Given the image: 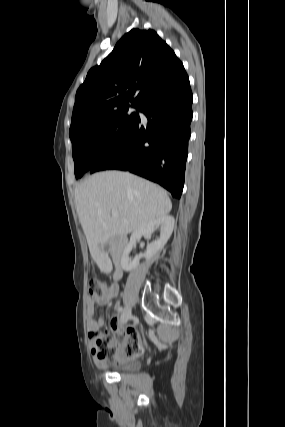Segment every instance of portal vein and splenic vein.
<instances>
[{
  "label": "portal vein and splenic vein",
  "mask_w": 285,
  "mask_h": 427,
  "mask_svg": "<svg viewBox=\"0 0 285 427\" xmlns=\"http://www.w3.org/2000/svg\"><path fill=\"white\" fill-rule=\"evenodd\" d=\"M112 216L113 217H117L118 216V212L117 211H112Z\"/></svg>",
  "instance_id": "obj_1"
}]
</instances>
